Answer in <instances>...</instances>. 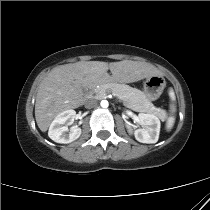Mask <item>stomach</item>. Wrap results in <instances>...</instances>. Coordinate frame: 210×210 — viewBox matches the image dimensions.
Here are the masks:
<instances>
[{
    "label": "stomach",
    "mask_w": 210,
    "mask_h": 210,
    "mask_svg": "<svg viewBox=\"0 0 210 210\" xmlns=\"http://www.w3.org/2000/svg\"><path fill=\"white\" fill-rule=\"evenodd\" d=\"M144 94L150 100H156L163 93L166 87L165 79L160 75L151 76L143 82Z\"/></svg>",
    "instance_id": "0dacf381"
}]
</instances>
